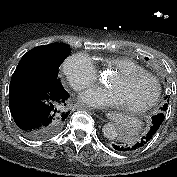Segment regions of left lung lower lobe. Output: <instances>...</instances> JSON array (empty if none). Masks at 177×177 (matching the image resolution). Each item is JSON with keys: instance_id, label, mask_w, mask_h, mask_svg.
Returning a JSON list of instances; mask_svg holds the SVG:
<instances>
[{"instance_id": "left-lung-lower-lobe-1", "label": "left lung lower lobe", "mask_w": 177, "mask_h": 177, "mask_svg": "<svg viewBox=\"0 0 177 177\" xmlns=\"http://www.w3.org/2000/svg\"><path fill=\"white\" fill-rule=\"evenodd\" d=\"M151 118H152V124L150 126L148 133L144 137H142L141 140H139L137 143L126 145V144L114 142L112 144V147L115 150L120 152H133L144 147L156 134L165 116L162 112H160L159 114L152 116Z\"/></svg>"}]
</instances>
